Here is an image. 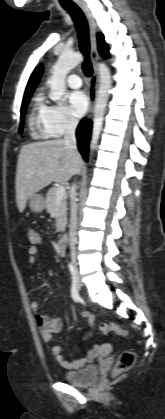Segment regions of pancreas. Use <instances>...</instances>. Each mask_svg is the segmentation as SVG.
<instances>
[{
	"label": "pancreas",
	"mask_w": 165,
	"mask_h": 419,
	"mask_svg": "<svg viewBox=\"0 0 165 419\" xmlns=\"http://www.w3.org/2000/svg\"><path fill=\"white\" fill-rule=\"evenodd\" d=\"M57 187H52L46 194L45 208L56 219V232H62L67 224V195L56 198Z\"/></svg>",
	"instance_id": "1"
}]
</instances>
